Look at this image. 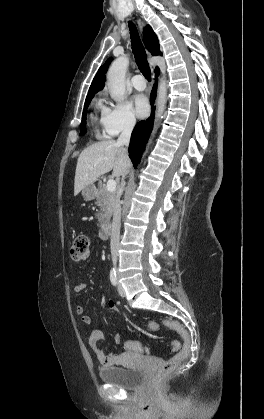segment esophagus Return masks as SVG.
<instances>
[{
	"instance_id": "esophagus-1",
	"label": "esophagus",
	"mask_w": 264,
	"mask_h": 419,
	"mask_svg": "<svg viewBox=\"0 0 264 419\" xmlns=\"http://www.w3.org/2000/svg\"><path fill=\"white\" fill-rule=\"evenodd\" d=\"M138 27H139L140 31L142 32L143 31V28H144L143 21L138 20ZM147 55H148V57H151L150 52H147ZM150 68H151V72H152V78H153L152 85H153L154 84V78H155V75H154V66H150Z\"/></svg>"
}]
</instances>
